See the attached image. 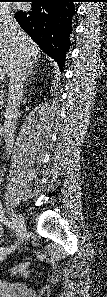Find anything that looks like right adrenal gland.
I'll return each instance as SVG.
<instances>
[{"instance_id":"right-adrenal-gland-1","label":"right adrenal gland","mask_w":107,"mask_h":297,"mask_svg":"<svg viewBox=\"0 0 107 297\" xmlns=\"http://www.w3.org/2000/svg\"><path fill=\"white\" fill-rule=\"evenodd\" d=\"M34 67H35V65H31L29 67L28 73L26 75V85H28V83L30 81V77L34 76L36 74V71H34Z\"/></svg>"}]
</instances>
